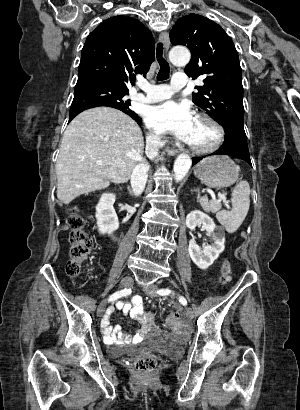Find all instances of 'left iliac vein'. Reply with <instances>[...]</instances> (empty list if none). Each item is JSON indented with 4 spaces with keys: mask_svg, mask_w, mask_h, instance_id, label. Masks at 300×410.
Segmentation results:
<instances>
[{
    "mask_svg": "<svg viewBox=\"0 0 300 410\" xmlns=\"http://www.w3.org/2000/svg\"><path fill=\"white\" fill-rule=\"evenodd\" d=\"M157 289L158 287L155 284H149L144 287V292L150 297H156ZM185 313L188 318L193 317V311L191 308L187 307Z\"/></svg>",
    "mask_w": 300,
    "mask_h": 410,
    "instance_id": "1",
    "label": "left iliac vein"
}]
</instances>
